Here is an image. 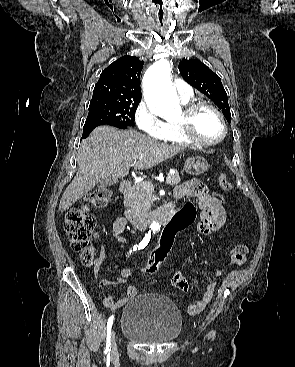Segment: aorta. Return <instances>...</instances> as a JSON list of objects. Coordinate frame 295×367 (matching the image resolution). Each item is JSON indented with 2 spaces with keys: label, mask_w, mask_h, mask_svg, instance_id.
<instances>
[{
  "label": "aorta",
  "mask_w": 295,
  "mask_h": 367,
  "mask_svg": "<svg viewBox=\"0 0 295 367\" xmlns=\"http://www.w3.org/2000/svg\"><path fill=\"white\" fill-rule=\"evenodd\" d=\"M171 66L168 60L161 59L150 66L144 76V98L149 109L163 117L173 118L181 113V106L170 78ZM159 230V225L150 226L146 240L151 232Z\"/></svg>",
  "instance_id": "1"
}]
</instances>
